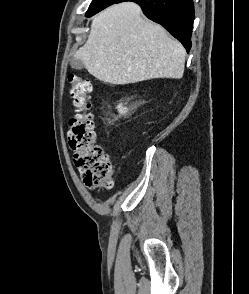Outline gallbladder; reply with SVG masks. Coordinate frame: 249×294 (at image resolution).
Listing matches in <instances>:
<instances>
[{
	"instance_id": "1",
	"label": "gallbladder",
	"mask_w": 249,
	"mask_h": 294,
	"mask_svg": "<svg viewBox=\"0 0 249 294\" xmlns=\"http://www.w3.org/2000/svg\"><path fill=\"white\" fill-rule=\"evenodd\" d=\"M70 65L72 68L77 69V70H81L84 68V64H83L82 60L77 59L76 57H72L70 59Z\"/></svg>"
}]
</instances>
